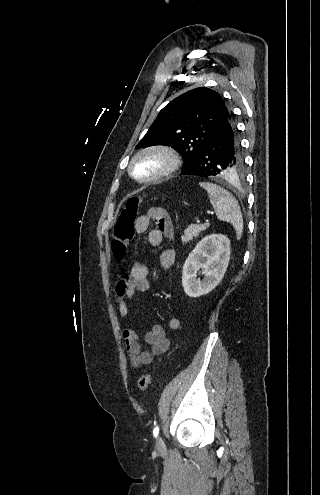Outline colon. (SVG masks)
<instances>
[{
  "mask_svg": "<svg viewBox=\"0 0 320 495\" xmlns=\"http://www.w3.org/2000/svg\"><path fill=\"white\" fill-rule=\"evenodd\" d=\"M141 202V197H129L117 218L113 230L111 249L114 257L118 260H122L128 252L134 235V222ZM150 383L151 374L146 373L139 378L137 388L140 392H145Z\"/></svg>",
  "mask_w": 320,
  "mask_h": 495,
  "instance_id": "colon-1",
  "label": "colon"
}]
</instances>
